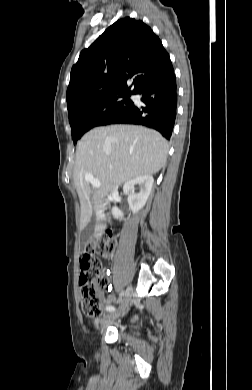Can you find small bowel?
Returning a JSON list of instances; mask_svg holds the SVG:
<instances>
[{
  "label": "small bowel",
  "mask_w": 252,
  "mask_h": 390,
  "mask_svg": "<svg viewBox=\"0 0 252 390\" xmlns=\"http://www.w3.org/2000/svg\"><path fill=\"white\" fill-rule=\"evenodd\" d=\"M100 294L102 297L104 296L103 292H101ZM114 302H116V296L114 294L109 295L105 301L107 306H110V304Z\"/></svg>",
  "instance_id": "obj_1"
}]
</instances>
